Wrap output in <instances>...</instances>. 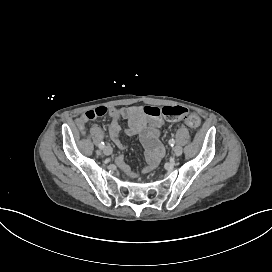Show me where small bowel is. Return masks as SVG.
<instances>
[{"instance_id":"c3829d8e","label":"small bowel","mask_w":272,"mask_h":272,"mask_svg":"<svg viewBox=\"0 0 272 272\" xmlns=\"http://www.w3.org/2000/svg\"><path fill=\"white\" fill-rule=\"evenodd\" d=\"M145 107L142 106H128V107H112L108 111L110 122L108 124V134L111 140L115 143L117 148L125 150V146L119 141L120 121L126 120L128 126L125 133L128 136L138 135L141 142L147 151V165L144 167V172H150L159 162L164 154L163 146L161 145L160 127L163 121L160 117L150 120L145 117ZM79 121V119H78ZM123 172L130 179H137L138 173L133 171L126 164H122Z\"/></svg>"}]
</instances>
